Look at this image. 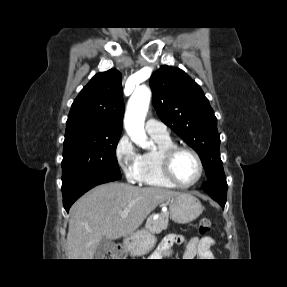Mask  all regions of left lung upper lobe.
Here are the masks:
<instances>
[{"label": "left lung upper lobe", "instance_id": "1", "mask_svg": "<svg viewBox=\"0 0 287 287\" xmlns=\"http://www.w3.org/2000/svg\"><path fill=\"white\" fill-rule=\"evenodd\" d=\"M150 85L160 119L200 156L208 177L204 191L226 198L217 119L200 86L183 70L166 65L152 74Z\"/></svg>", "mask_w": 287, "mask_h": 287}]
</instances>
